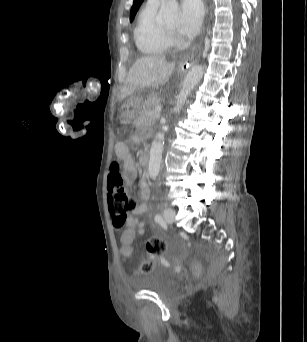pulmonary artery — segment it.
I'll use <instances>...</instances> for the list:
<instances>
[{"label":"pulmonary artery","mask_w":307,"mask_h":342,"mask_svg":"<svg viewBox=\"0 0 307 342\" xmlns=\"http://www.w3.org/2000/svg\"><path fill=\"white\" fill-rule=\"evenodd\" d=\"M165 1H147L148 9L156 11Z\"/></svg>","instance_id":"e3ab8cb5"}]
</instances>
